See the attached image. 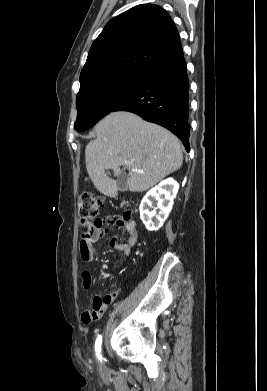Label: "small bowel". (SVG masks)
Returning <instances> with one entry per match:
<instances>
[{"label":"small bowel","mask_w":267,"mask_h":391,"mask_svg":"<svg viewBox=\"0 0 267 391\" xmlns=\"http://www.w3.org/2000/svg\"><path fill=\"white\" fill-rule=\"evenodd\" d=\"M108 226H113L116 229L124 228L127 235L126 243H119L115 237L112 238L110 245L111 247L122 251L126 256L131 252V249L136 245L138 240V231L134 221L128 220L124 223H120L117 220V216L107 215L101 218L98 223L91 225L88 230L82 235L85 236L89 241L88 252L85 253L80 248L81 258L84 261H90L92 259V246L93 244L102 238L108 232ZM84 286L88 288L91 285L90 275L85 272L83 275ZM117 292L106 294L104 297L95 296L93 299L92 308L85 310L82 313L81 320L87 324L94 320L99 319L106 311L109 304L116 297Z\"/></svg>","instance_id":"c3829d8e"}]
</instances>
